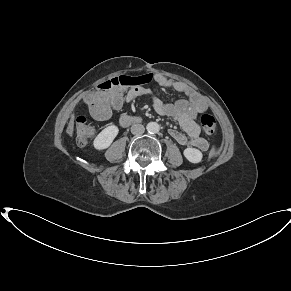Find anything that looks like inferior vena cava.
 Returning a JSON list of instances; mask_svg holds the SVG:
<instances>
[{
    "instance_id": "obj_1",
    "label": "inferior vena cava",
    "mask_w": 291,
    "mask_h": 291,
    "mask_svg": "<svg viewBox=\"0 0 291 291\" xmlns=\"http://www.w3.org/2000/svg\"><path fill=\"white\" fill-rule=\"evenodd\" d=\"M144 131H145V128L141 124H134L131 127V133L133 135H142L144 133Z\"/></svg>"
}]
</instances>
